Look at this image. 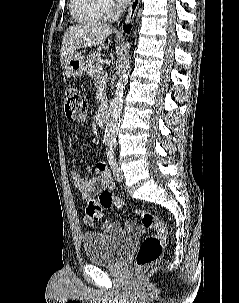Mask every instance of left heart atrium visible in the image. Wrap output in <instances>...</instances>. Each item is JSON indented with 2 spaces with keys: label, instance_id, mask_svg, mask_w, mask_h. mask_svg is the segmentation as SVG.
I'll list each match as a JSON object with an SVG mask.
<instances>
[{
  "label": "left heart atrium",
  "instance_id": "obj_1",
  "mask_svg": "<svg viewBox=\"0 0 239 303\" xmlns=\"http://www.w3.org/2000/svg\"><path fill=\"white\" fill-rule=\"evenodd\" d=\"M120 3H123V4H125V3H128L129 2V0H118Z\"/></svg>",
  "mask_w": 239,
  "mask_h": 303
}]
</instances>
